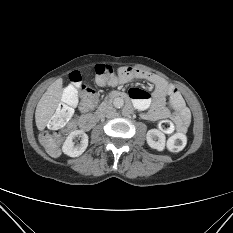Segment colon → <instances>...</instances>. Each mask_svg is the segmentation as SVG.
Returning a JSON list of instances; mask_svg holds the SVG:
<instances>
[{"instance_id":"colon-1","label":"colon","mask_w":233,"mask_h":233,"mask_svg":"<svg viewBox=\"0 0 233 233\" xmlns=\"http://www.w3.org/2000/svg\"><path fill=\"white\" fill-rule=\"evenodd\" d=\"M118 74L115 69L108 64H98L95 67L96 82L100 85H113ZM70 85L65 89L63 101L58 106L56 112L50 119L47 128L41 133L40 141L45 149L53 155L59 153L60 145L64 133V126L72 115V109L78 101V95L83 98H90L95 95L94 89L82 82V75L79 71H74L69 75ZM187 143V138L183 133L172 135L167 146L173 152L181 151Z\"/></svg>"}]
</instances>
